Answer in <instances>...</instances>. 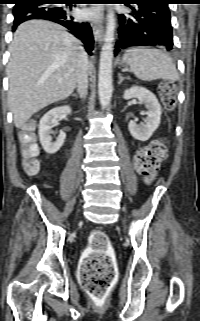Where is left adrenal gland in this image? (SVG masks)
Masks as SVG:
<instances>
[{"instance_id": "left-adrenal-gland-1", "label": "left adrenal gland", "mask_w": 200, "mask_h": 321, "mask_svg": "<svg viewBox=\"0 0 200 321\" xmlns=\"http://www.w3.org/2000/svg\"><path fill=\"white\" fill-rule=\"evenodd\" d=\"M118 77H119V82H118V84H121L124 79H130L129 77H123V76L121 75V73L118 74Z\"/></svg>"}]
</instances>
